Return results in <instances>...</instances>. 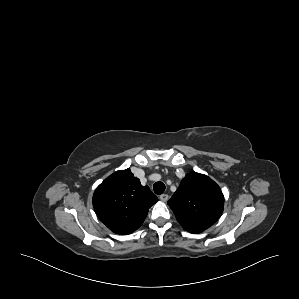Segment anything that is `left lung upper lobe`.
<instances>
[{
  "mask_svg": "<svg viewBox=\"0 0 299 299\" xmlns=\"http://www.w3.org/2000/svg\"><path fill=\"white\" fill-rule=\"evenodd\" d=\"M178 222L190 233H201L223 212L224 196L208 176L190 172L168 201Z\"/></svg>",
  "mask_w": 299,
  "mask_h": 299,
  "instance_id": "left-lung-upper-lobe-1",
  "label": "left lung upper lobe"
}]
</instances>
